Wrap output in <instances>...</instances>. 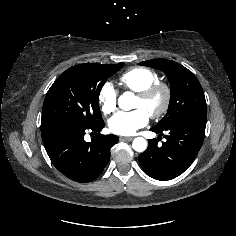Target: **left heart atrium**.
Masks as SVG:
<instances>
[{"mask_svg":"<svg viewBox=\"0 0 236 236\" xmlns=\"http://www.w3.org/2000/svg\"><path fill=\"white\" fill-rule=\"evenodd\" d=\"M149 114L142 108L130 112H118L108 122L111 132L118 135H132L147 125Z\"/></svg>","mask_w":236,"mask_h":236,"instance_id":"left-heart-atrium-1","label":"left heart atrium"}]
</instances>
